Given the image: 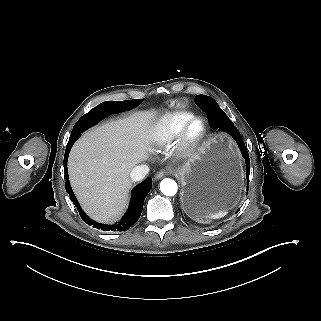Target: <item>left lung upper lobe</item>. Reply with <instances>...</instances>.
Masks as SVG:
<instances>
[{"mask_svg": "<svg viewBox=\"0 0 321 321\" xmlns=\"http://www.w3.org/2000/svg\"><path fill=\"white\" fill-rule=\"evenodd\" d=\"M195 103L205 112L208 106L218 105L213 98L206 95H197L195 97Z\"/></svg>", "mask_w": 321, "mask_h": 321, "instance_id": "obj_1", "label": "left lung upper lobe"}]
</instances>
